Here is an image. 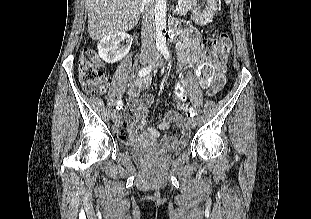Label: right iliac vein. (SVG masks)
<instances>
[{
	"label": "right iliac vein",
	"instance_id": "obj_1",
	"mask_svg": "<svg viewBox=\"0 0 311 219\" xmlns=\"http://www.w3.org/2000/svg\"><path fill=\"white\" fill-rule=\"evenodd\" d=\"M151 61V57L150 56H147V55H142L140 57V63L142 65H145L147 63H149ZM111 118L113 120V122H117L118 121V113L116 111H114L111 115Z\"/></svg>",
	"mask_w": 311,
	"mask_h": 219
}]
</instances>
